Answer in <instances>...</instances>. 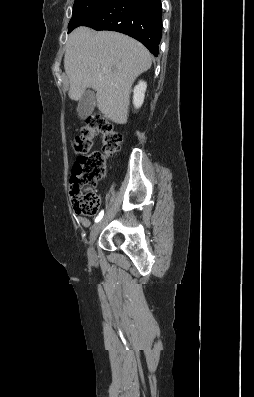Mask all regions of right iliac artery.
I'll use <instances>...</instances> for the list:
<instances>
[{
  "mask_svg": "<svg viewBox=\"0 0 254 397\" xmlns=\"http://www.w3.org/2000/svg\"><path fill=\"white\" fill-rule=\"evenodd\" d=\"M103 214H104V211L102 210V211L98 214V216L95 218V222H99V221L102 219Z\"/></svg>",
  "mask_w": 254,
  "mask_h": 397,
  "instance_id": "82829eb1",
  "label": "right iliac artery"
}]
</instances>
